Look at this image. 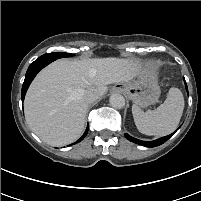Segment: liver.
Masks as SVG:
<instances>
[{
  "mask_svg": "<svg viewBox=\"0 0 201 201\" xmlns=\"http://www.w3.org/2000/svg\"><path fill=\"white\" fill-rule=\"evenodd\" d=\"M142 69L139 61L115 57L57 60L31 83L24 100L25 119L45 143L70 144L85 127L89 103L84 91L93 88L102 96L109 84L130 82Z\"/></svg>",
  "mask_w": 201,
  "mask_h": 201,
  "instance_id": "obj_1",
  "label": "liver"
}]
</instances>
